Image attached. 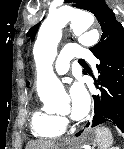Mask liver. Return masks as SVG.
<instances>
[{
    "label": "liver",
    "mask_w": 124,
    "mask_h": 149,
    "mask_svg": "<svg viewBox=\"0 0 124 149\" xmlns=\"http://www.w3.org/2000/svg\"><path fill=\"white\" fill-rule=\"evenodd\" d=\"M26 149H56V146L51 141H32L26 146Z\"/></svg>",
    "instance_id": "obj_1"
}]
</instances>
